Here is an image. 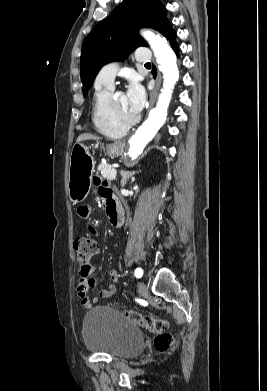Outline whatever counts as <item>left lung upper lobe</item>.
Returning a JSON list of instances; mask_svg holds the SVG:
<instances>
[{"label": "left lung upper lobe", "instance_id": "obj_1", "mask_svg": "<svg viewBox=\"0 0 267 391\" xmlns=\"http://www.w3.org/2000/svg\"><path fill=\"white\" fill-rule=\"evenodd\" d=\"M140 27L153 28L164 35L171 24L159 0H124L86 37L80 59L83 94L88 90L103 65L123 60L147 42L138 34Z\"/></svg>", "mask_w": 267, "mask_h": 391}]
</instances>
